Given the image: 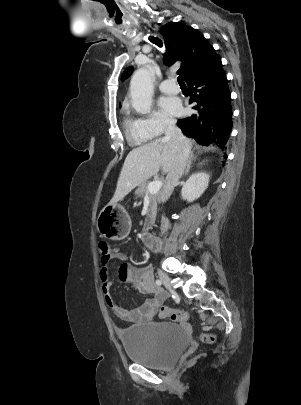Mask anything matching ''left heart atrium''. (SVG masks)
<instances>
[{"label": "left heart atrium", "instance_id": "1", "mask_svg": "<svg viewBox=\"0 0 301 405\" xmlns=\"http://www.w3.org/2000/svg\"><path fill=\"white\" fill-rule=\"evenodd\" d=\"M160 106L166 113L174 116L180 115L183 110L180 100L173 96L163 97Z\"/></svg>", "mask_w": 301, "mask_h": 405}]
</instances>
